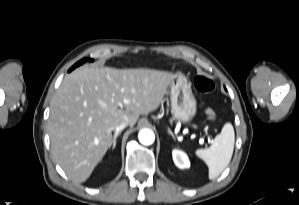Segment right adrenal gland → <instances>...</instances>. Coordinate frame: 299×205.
<instances>
[{"label":"right adrenal gland","instance_id":"obj_1","mask_svg":"<svg viewBox=\"0 0 299 205\" xmlns=\"http://www.w3.org/2000/svg\"><path fill=\"white\" fill-rule=\"evenodd\" d=\"M120 135V132H116L113 136V140H112V143H111V146H112V150L115 148L116 146V140H117V137Z\"/></svg>","mask_w":299,"mask_h":205}]
</instances>
